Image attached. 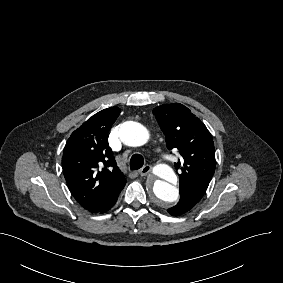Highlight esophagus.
<instances>
[{
	"label": "esophagus",
	"mask_w": 283,
	"mask_h": 283,
	"mask_svg": "<svg viewBox=\"0 0 283 283\" xmlns=\"http://www.w3.org/2000/svg\"><path fill=\"white\" fill-rule=\"evenodd\" d=\"M152 171V167L150 165H145L144 167H142L140 170H138V173L141 176H146L147 174H149Z\"/></svg>",
	"instance_id": "obj_1"
}]
</instances>
